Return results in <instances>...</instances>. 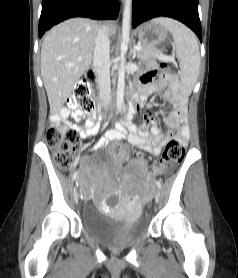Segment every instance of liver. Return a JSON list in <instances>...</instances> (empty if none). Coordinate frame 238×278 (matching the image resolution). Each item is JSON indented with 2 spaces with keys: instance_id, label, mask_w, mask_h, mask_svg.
Here are the masks:
<instances>
[{
  "instance_id": "6515ba94",
  "label": "liver",
  "mask_w": 238,
  "mask_h": 278,
  "mask_svg": "<svg viewBox=\"0 0 238 278\" xmlns=\"http://www.w3.org/2000/svg\"><path fill=\"white\" fill-rule=\"evenodd\" d=\"M98 29L97 21L73 18L46 34L41 48V76L51 113L63 107L75 84L90 67ZM107 29L110 35H115L113 22L108 23Z\"/></svg>"
}]
</instances>
